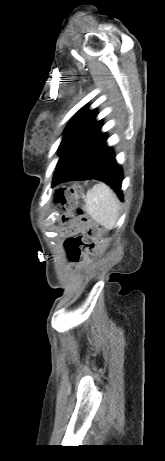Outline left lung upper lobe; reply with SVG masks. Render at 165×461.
Here are the masks:
<instances>
[{"label":"left lung upper lobe","instance_id":"1","mask_svg":"<svg viewBox=\"0 0 165 461\" xmlns=\"http://www.w3.org/2000/svg\"><path fill=\"white\" fill-rule=\"evenodd\" d=\"M82 109L65 130V135L58 148L60 150L58 164L74 145L97 123L95 120L97 115L95 109L89 111L87 110L88 108Z\"/></svg>","mask_w":165,"mask_h":461}]
</instances>
